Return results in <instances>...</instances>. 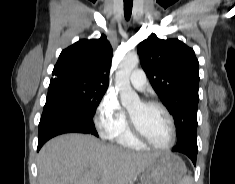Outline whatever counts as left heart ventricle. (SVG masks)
I'll return each mask as SVG.
<instances>
[{"label": "left heart ventricle", "mask_w": 235, "mask_h": 184, "mask_svg": "<svg viewBox=\"0 0 235 184\" xmlns=\"http://www.w3.org/2000/svg\"><path fill=\"white\" fill-rule=\"evenodd\" d=\"M135 125L154 144L165 146L171 135L170 122L165 112L158 107H145L141 102L129 109Z\"/></svg>", "instance_id": "obj_1"}]
</instances>
